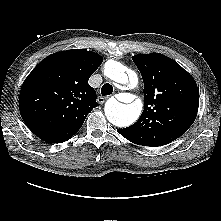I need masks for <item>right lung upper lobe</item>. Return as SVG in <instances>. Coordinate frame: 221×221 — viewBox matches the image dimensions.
<instances>
[{"instance_id": "cb5924a9", "label": "right lung upper lobe", "mask_w": 221, "mask_h": 221, "mask_svg": "<svg viewBox=\"0 0 221 221\" xmlns=\"http://www.w3.org/2000/svg\"><path fill=\"white\" fill-rule=\"evenodd\" d=\"M102 61L94 52L74 49L51 54L32 70L22 85L19 109L33 134L62 143L79 130L98 106L88 80Z\"/></svg>"}]
</instances>
